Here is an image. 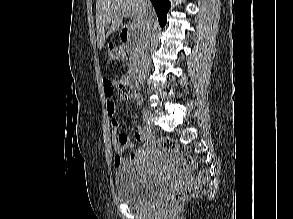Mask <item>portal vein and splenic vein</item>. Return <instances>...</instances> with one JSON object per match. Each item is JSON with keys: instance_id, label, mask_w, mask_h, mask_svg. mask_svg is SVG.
Returning a JSON list of instances; mask_svg holds the SVG:
<instances>
[{"instance_id": "18ae733b", "label": "portal vein and splenic vein", "mask_w": 293, "mask_h": 219, "mask_svg": "<svg viewBox=\"0 0 293 219\" xmlns=\"http://www.w3.org/2000/svg\"><path fill=\"white\" fill-rule=\"evenodd\" d=\"M123 15L128 17L132 16L130 13H123ZM133 28L135 29V25H133Z\"/></svg>"}]
</instances>
